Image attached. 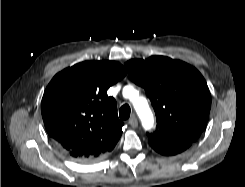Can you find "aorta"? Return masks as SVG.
I'll use <instances>...</instances> for the list:
<instances>
[{"label":"aorta","instance_id":"aorta-1","mask_svg":"<svg viewBox=\"0 0 245 187\" xmlns=\"http://www.w3.org/2000/svg\"><path fill=\"white\" fill-rule=\"evenodd\" d=\"M133 103L138 115L140 116L143 122V125L146 128L150 127L153 123V118L146 100H144L143 98H139L135 100Z\"/></svg>","mask_w":245,"mask_h":187}]
</instances>
